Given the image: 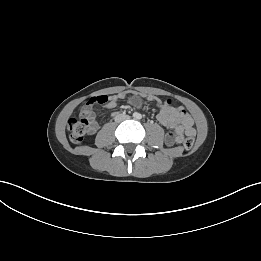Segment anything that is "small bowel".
Segmentation results:
<instances>
[{"instance_id": "obj_1", "label": "small bowel", "mask_w": 261, "mask_h": 261, "mask_svg": "<svg viewBox=\"0 0 261 261\" xmlns=\"http://www.w3.org/2000/svg\"><path fill=\"white\" fill-rule=\"evenodd\" d=\"M119 96H110L107 101L103 103V107L106 109H112L117 106ZM141 99H146L150 102H155L159 106V113L157 115L158 121L170 130L165 136V143L167 146H173L183 141L185 135H194L195 129L193 127V120L186 113L182 107H175L170 99L160 101L157 97L147 94H132L130 96V102L139 106ZM81 113L87 114L90 118L94 119L95 113L91 110V107L87 105L82 108ZM98 128V124L93 121L91 131L95 132Z\"/></svg>"}]
</instances>
